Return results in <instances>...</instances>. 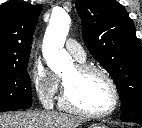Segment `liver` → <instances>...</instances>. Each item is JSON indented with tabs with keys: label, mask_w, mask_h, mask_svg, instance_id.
<instances>
[{
	"label": "liver",
	"mask_w": 142,
	"mask_h": 128,
	"mask_svg": "<svg viewBox=\"0 0 142 128\" xmlns=\"http://www.w3.org/2000/svg\"><path fill=\"white\" fill-rule=\"evenodd\" d=\"M82 120L56 111H27L0 114V128H77Z\"/></svg>",
	"instance_id": "obj_1"
}]
</instances>
